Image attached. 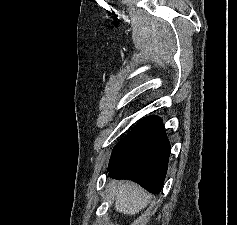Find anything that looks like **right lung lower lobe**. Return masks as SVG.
<instances>
[{"label":"right lung lower lobe","mask_w":237,"mask_h":225,"mask_svg":"<svg viewBox=\"0 0 237 225\" xmlns=\"http://www.w3.org/2000/svg\"><path fill=\"white\" fill-rule=\"evenodd\" d=\"M169 154L162 120L157 116L144 118L114 148L109 176L134 181L157 194L164 184Z\"/></svg>","instance_id":"obj_1"}]
</instances>
